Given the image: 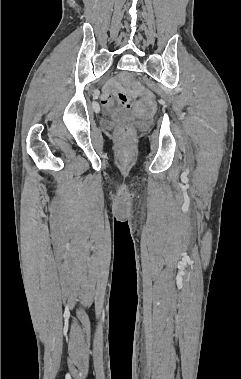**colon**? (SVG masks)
<instances>
[{"mask_svg":"<svg viewBox=\"0 0 241 379\" xmlns=\"http://www.w3.org/2000/svg\"><path fill=\"white\" fill-rule=\"evenodd\" d=\"M117 98L119 103L124 107V108H130L132 110H138L142 114H148L150 110L152 109V100L151 97H142L140 99V103H132V100L130 96H128L126 93L119 92L117 94ZM133 133V129L131 126L125 125L119 128L118 134L120 137H129Z\"/></svg>","mask_w":241,"mask_h":379,"instance_id":"obj_1","label":"colon"}]
</instances>
